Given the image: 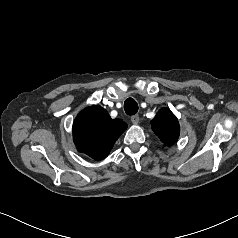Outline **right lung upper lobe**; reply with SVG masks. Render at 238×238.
<instances>
[{
  "label": "right lung upper lobe",
  "mask_w": 238,
  "mask_h": 238,
  "mask_svg": "<svg viewBox=\"0 0 238 238\" xmlns=\"http://www.w3.org/2000/svg\"><path fill=\"white\" fill-rule=\"evenodd\" d=\"M126 128L127 124L121 119H111L105 109L94 105L77 115L73 124V140L78 151L101 160L107 157Z\"/></svg>",
  "instance_id": "1"
}]
</instances>
